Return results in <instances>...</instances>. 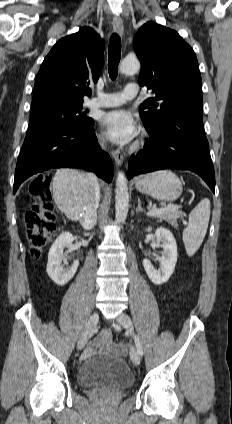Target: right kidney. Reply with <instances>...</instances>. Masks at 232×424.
I'll return each instance as SVG.
<instances>
[{
    "label": "right kidney",
    "mask_w": 232,
    "mask_h": 424,
    "mask_svg": "<svg viewBox=\"0 0 232 424\" xmlns=\"http://www.w3.org/2000/svg\"><path fill=\"white\" fill-rule=\"evenodd\" d=\"M74 237L69 232L62 233L51 246L48 253L47 274L59 286L67 284L75 275L79 261L75 260L70 267L64 268V248L72 245Z\"/></svg>",
    "instance_id": "ca27d5eb"
}]
</instances>
